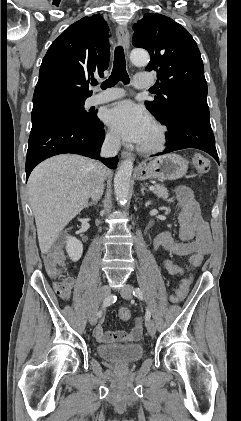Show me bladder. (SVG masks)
Returning a JSON list of instances; mask_svg holds the SVG:
<instances>
[{"mask_svg": "<svg viewBox=\"0 0 241 421\" xmlns=\"http://www.w3.org/2000/svg\"><path fill=\"white\" fill-rule=\"evenodd\" d=\"M96 350L100 358L119 365L137 362L144 355V348L140 344H100Z\"/></svg>", "mask_w": 241, "mask_h": 421, "instance_id": "31cf9c89", "label": "bladder"}]
</instances>
